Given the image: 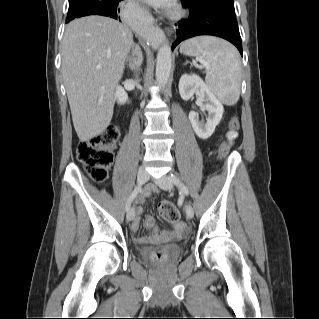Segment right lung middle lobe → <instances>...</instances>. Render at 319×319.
Listing matches in <instances>:
<instances>
[{"label":"right lung middle lobe","mask_w":319,"mask_h":319,"mask_svg":"<svg viewBox=\"0 0 319 319\" xmlns=\"http://www.w3.org/2000/svg\"><path fill=\"white\" fill-rule=\"evenodd\" d=\"M102 0H69L67 19H73L77 13Z\"/></svg>","instance_id":"1"}]
</instances>
